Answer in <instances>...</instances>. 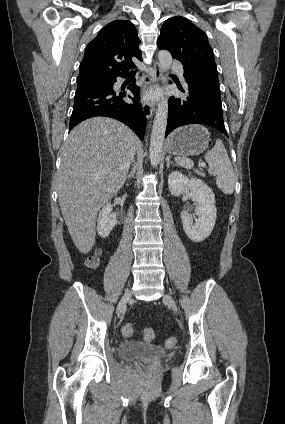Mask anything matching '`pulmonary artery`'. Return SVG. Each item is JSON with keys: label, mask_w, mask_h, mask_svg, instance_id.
Masks as SVG:
<instances>
[{"label": "pulmonary artery", "mask_w": 285, "mask_h": 424, "mask_svg": "<svg viewBox=\"0 0 285 424\" xmlns=\"http://www.w3.org/2000/svg\"><path fill=\"white\" fill-rule=\"evenodd\" d=\"M171 68H172V70H173V71H175V72H177L178 74H181V75H182V73H183V68H182V66H181V65L174 63V64H172ZM183 81H184V80H183Z\"/></svg>", "instance_id": "obj_1"}]
</instances>
